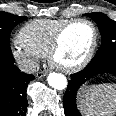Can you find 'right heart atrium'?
Wrapping results in <instances>:
<instances>
[{"label":"right heart atrium","mask_w":116,"mask_h":116,"mask_svg":"<svg viewBox=\"0 0 116 116\" xmlns=\"http://www.w3.org/2000/svg\"><path fill=\"white\" fill-rule=\"evenodd\" d=\"M11 56L16 64L25 72L35 71L41 60V56L23 47L18 42L12 48Z\"/></svg>","instance_id":"1"}]
</instances>
